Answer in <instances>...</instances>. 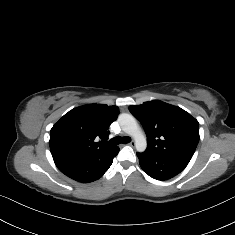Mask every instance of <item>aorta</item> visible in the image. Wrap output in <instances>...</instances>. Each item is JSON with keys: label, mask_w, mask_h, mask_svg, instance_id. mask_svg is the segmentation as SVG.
<instances>
[{"label": "aorta", "mask_w": 235, "mask_h": 235, "mask_svg": "<svg viewBox=\"0 0 235 235\" xmlns=\"http://www.w3.org/2000/svg\"><path fill=\"white\" fill-rule=\"evenodd\" d=\"M118 122L122 130L134 138L136 150L144 152L147 148V141L136 119L131 114L122 113L118 116Z\"/></svg>", "instance_id": "762f6f07"}]
</instances>
